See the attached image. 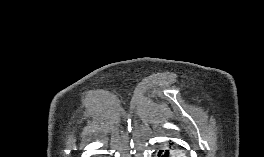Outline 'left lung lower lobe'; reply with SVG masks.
<instances>
[{
    "label": "left lung lower lobe",
    "mask_w": 264,
    "mask_h": 157,
    "mask_svg": "<svg viewBox=\"0 0 264 157\" xmlns=\"http://www.w3.org/2000/svg\"><path fill=\"white\" fill-rule=\"evenodd\" d=\"M169 145H170L169 149L166 148L164 150L158 151L156 157H183L180 155L179 152L175 151V149L171 147L172 143H170Z\"/></svg>",
    "instance_id": "1"
}]
</instances>
